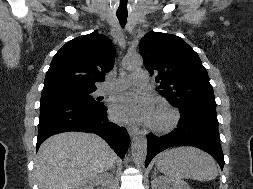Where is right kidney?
Wrapping results in <instances>:
<instances>
[{
	"label": "right kidney",
	"instance_id": "ca27d5eb",
	"mask_svg": "<svg viewBox=\"0 0 253 189\" xmlns=\"http://www.w3.org/2000/svg\"><path fill=\"white\" fill-rule=\"evenodd\" d=\"M112 184L113 175L106 172L82 181L75 189H93L95 186H100L101 189H112Z\"/></svg>",
	"mask_w": 253,
	"mask_h": 189
}]
</instances>
